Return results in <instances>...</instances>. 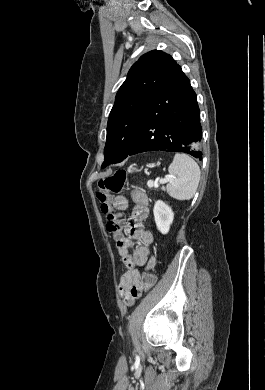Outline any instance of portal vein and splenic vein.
<instances>
[{"label": "portal vein and splenic vein", "instance_id": "obj_1", "mask_svg": "<svg viewBox=\"0 0 265 390\" xmlns=\"http://www.w3.org/2000/svg\"><path fill=\"white\" fill-rule=\"evenodd\" d=\"M172 180H173L172 176H165V178L161 179L159 182L164 184V183L170 182ZM148 185L158 187V182H153L152 180H149Z\"/></svg>", "mask_w": 265, "mask_h": 390}]
</instances>
